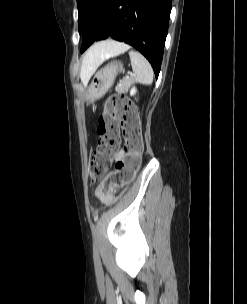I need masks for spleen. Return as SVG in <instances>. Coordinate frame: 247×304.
<instances>
[{
    "instance_id": "1",
    "label": "spleen",
    "mask_w": 247,
    "mask_h": 304,
    "mask_svg": "<svg viewBox=\"0 0 247 304\" xmlns=\"http://www.w3.org/2000/svg\"><path fill=\"white\" fill-rule=\"evenodd\" d=\"M129 56L136 81L143 85H151L154 73L148 60L141 53L133 50L129 52Z\"/></svg>"
}]
</instances>
